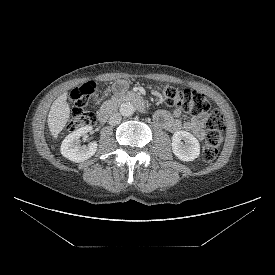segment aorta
Here are the masks:
<instances>
[{"mask_svg": "<svg viewBox=\"0 0 275 275\" xmlns=\"http://www.w3.org/2000/svg\"><path fill=\"white\" fill-rule=\"evenodd\" d=\"M119 111L122 116L129 117L134 114L135 109L130 102H124L120 105Z\"/></svg>", "mask_w": 275, "mask_h": 275, "instance_id": "aorta-1", "label": "aorta"}]
</instances>
